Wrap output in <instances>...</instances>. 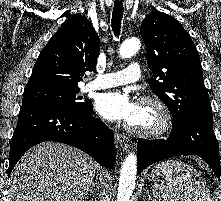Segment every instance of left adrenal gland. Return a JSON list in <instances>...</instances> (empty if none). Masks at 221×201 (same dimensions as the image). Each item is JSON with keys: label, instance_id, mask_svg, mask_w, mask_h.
<instances>
[{"label": "left adrenal gland", "instance_id": "a2214340", "mask_svg": "<svg viewBox=\"0 0 221 201\" xmlns=\"http://www.w3.org/2000/svg\"><path fill=\"white\" fill-rule=\"evenodd\" d=\"M149 200H152V201H154V200L152 199V195H151V194H148V198H147V201H149Z\"/></svg>", "mask_w": 221, "mask_h": 201}]
</instances>
